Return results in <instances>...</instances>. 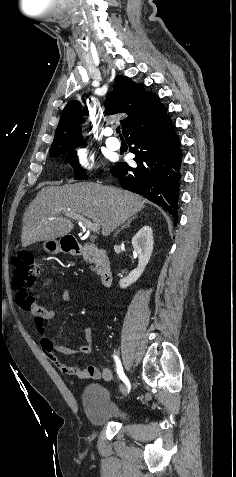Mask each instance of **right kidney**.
<instances>
[{"label": "right kidney", "instance_id": "obj_1", "mask_svg": "<svg viewBox=\"0 0 236 477\" xmlns=\"http://www.w3.org/2000/svg\"><path fill=\"white\" fill-rule=\"evenodd\" d=\"M153 231L149 226H144L132 239L134 252L138 255V266L131 271L126 278L120 280L121 288H127L138 280L146 265L148 264L153 251Z\"/></svg>", "mask_w": 236, "mask_h": 477}]
</instances>
